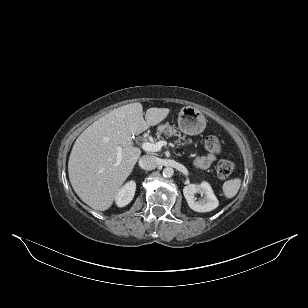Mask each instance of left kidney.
Listing matches in <instances>:
<instances>
[{
	"instance_id": "left-kidney-1",
	"label": "left kidney",
	"mask_w": 308,
	"mask_h": 308,
	"mask_svg": "<svg viewBox=\"0 0 308 308\" xmlns=\"http://www.w3.org/2000/svg\"><path fill=\"white\" fill-rule=\"evenodd\" d=\"M198 192H203L204 197L203 199L196 201L195 194ZM183 194L189 207L196 212H210L216 209L219 205L210 184L205 181L200 185L189 184L185 186Z\"/></svg>"
}]
</instances>
